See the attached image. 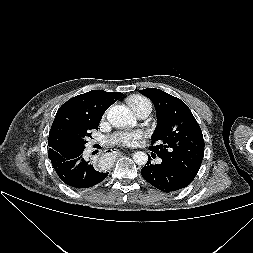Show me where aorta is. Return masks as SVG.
I'll use <instances>...</instances> for the list:
<instances>
[{
  "instance_id": "aorta-1",
  "label": "aorta",
  "mask_w": 253,
  "mask_h": 253,
  "mask_svg": "<svg viewBox=\"0 0 253 253\" xmlns=\"http://www.w3.org/2000/svg\"><path fill=\"white\" fill-rule=\"evenodd\" d=\"M107 120L111 125L117 128H124L134 124V118L129 110L123 105H115L111 107L107 113ZM133 160L138 165H145L148 156L142 151L134 153Z\"/></svg>"
}]
</instances>
